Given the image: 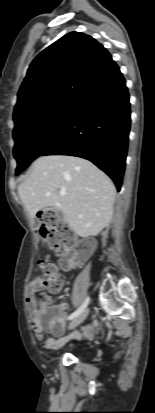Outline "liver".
<instances>
[{"label":"liver","mask_w":155,"mask_h":413,"mask_svg":"<svg viewBox=\"0 0 155 413\" xmlns=\"http://www.w3.org/2000/svg\"><path fill=\"white\" fill-rule=\"evenodd\" d=\"M66 194L61 196L59 191ZM19 197L30 218L46 207L60 210L80 237L96 236L112 219L116 189L111 179L93 163L68 155L39 157Z\"/></svg>","instance_id":"obj_1"}]
</instances>
